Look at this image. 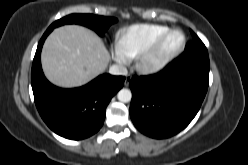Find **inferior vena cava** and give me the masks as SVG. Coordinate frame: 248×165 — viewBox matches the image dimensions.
I'll return each instance as SVG.
<instances>
[{"label": "inferior vena cava", "instance_id": "602c4592", "mask_svg": "<svg viewBox=\"0 0 248 165\" xmlns=\"http://www.w3.org/2000/svg\"><path fill=\"white\" fill-rule=\"evenodd\" d=\"M109 73L112 75H123L126 76L128 71L126 69V67L122 66V65H112L109 68Z\"/></svg>", "mask_w": 248, "mask_h": 165}]
</instances>
